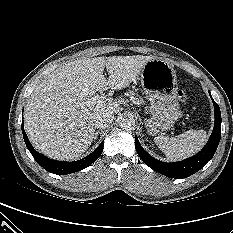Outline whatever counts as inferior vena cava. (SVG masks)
<instances>
[{
  "label": "inferior vena cava",
  "instance_id": "obj_1",
  "mask_svg": "<svg viewBox=\"0 0 233 233\" xmlns=\"http://www.w3.org/2000/svg\"><path fill=\"white\" fill-rule=\"evenodd\" d=\"M114 119V114L111 112H103L94 115L93 123L95 128H104L109 126Z\"/></svg>",
  "mask_w": 233,
  "mask_h": 233
}]
</instances>
